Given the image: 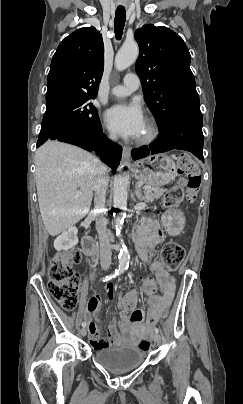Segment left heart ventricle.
I'll list each match as a JSON object with an SVG mask.
<instances>
[{"label": "left heart ventricle", "mask_w": 243, "mask_h": 404, "mask_svg": "<svg viewBox=\"0 0 243 404\" xmlns=\"http://www.w3.org/2000/svg\"><path fill=\"white\" fill-rule=\"evenodd\" d=\"M147 128H148V124H147V122H146L145 131H144V133H143V135H142L141 137H143V136L146 134V132H147ZM141 137H140V138H141Z\"/></svg>", "instance_id": "1"}]
</instances>
